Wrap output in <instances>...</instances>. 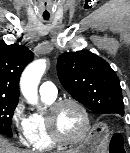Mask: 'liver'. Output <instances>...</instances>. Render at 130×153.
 Returning a JSON list of instances; mask_svg holds the SVG:
<instances>
[{
	"mask_svg": "<svg viewBox=\"0 0 130 153\" xmlns=\"http://www.w3.org/2000/svg\"><path fill=\"white\" fill-rule=\"evenodd\" d=\"M0 153H29L28 151L13 147L7 140L0 136Z\"/></svg>",
	"mask_w": 130,
	"mask_h": 153,
	"instance_id": "6515ba94",
	"label": "liver"
}]
</instances>
